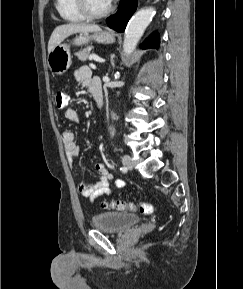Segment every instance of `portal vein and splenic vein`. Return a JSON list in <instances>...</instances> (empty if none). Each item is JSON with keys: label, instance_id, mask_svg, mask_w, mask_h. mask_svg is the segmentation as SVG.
Masks as SVG:
<instances>
[{"label": "portal vein and splenic vein", "instance_id": "1", "mask_svg": "<svg viewBox=\"0 0 243 289\" xmlns=\"http://www.w3.org/2000/svg\"><path fill=\"white\" fill-rule=\"evenodd\" d=\"M89 60L90 61L94 60V61H97V62H100V63H103L105 61L104 59H101V58H99L96 55H90L89 56ZM90 66H93V64H90Z\"/></svg>", "mask_w": 243, "mask_h": 289}]
</instances>
